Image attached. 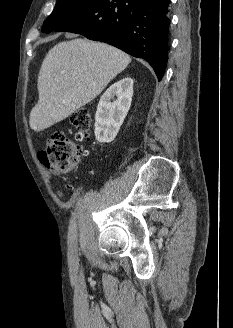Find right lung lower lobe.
<instances>
[{
  "label": "right lung lower lobe",
  "instance_id": "right-lung-lower-lobe-1",
  "mask_svg": "<svg viewBox=\"0 0 233 328\" xmlns=\"http://www.w3.org/2000/svg\"><path fill=\"white\" fill-rule=\"evenodd\" d=\"M169 0H96L57 20L49 31H68L145 59L158 80L168 59Z\"/></svg>",
  "mask_w": 233,
  "mask_h": 328
}]
</instances>
